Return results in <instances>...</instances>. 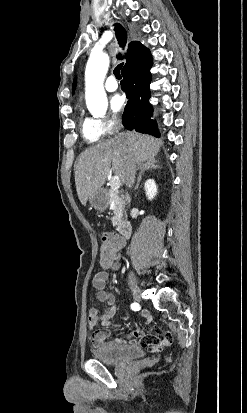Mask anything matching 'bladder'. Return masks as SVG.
<instances>
[{"label":"bladder","mask_w":247,"mask_h":413,"mask_svg":"<svg viewBox=\"0 0 247 413\" xmlns=\"http://www.w3.org/2000/svg\"><path fill=\"white\" fill-rule=\"evenodd\" d=\"M94 358L106 363L122 364L132 359H140L144 351L137 345H124L116 341L106 342L101 348L93 351Z\"/></svg>","instance_id":"bladder-1"}]
</instances>
